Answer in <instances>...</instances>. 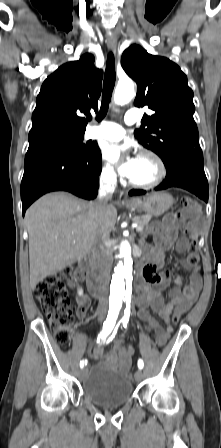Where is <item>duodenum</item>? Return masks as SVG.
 <instances>
[{
  "mask_svg": "<svg viewBox=\"0 0 221 448\" xmlns=\"http://www.w3.org/2000/svg\"><path fill=\"white\" fill-rule=\"evenodd\" d=\"M80 270L86 278L89 292L93 295H98L102 287L101 276L95 269L91 252L86 253L81 260Z\"/></svg>",
  "mask_w": 221,
  "mask_h": 448,
  "instance_id": "duodenum-1",
  "label": "duodenum"
}]
</instances>
